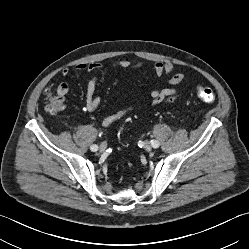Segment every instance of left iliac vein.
Instances as JSON below:
<instances>
[{"label": "left iliac vein", "instance_id": "1", "mask_svg": "<svg viewBox=\"0 0 249 249\" xmlns=\"http://www.w3.org/2000/svg\"><path fill=\"white\" fill-rule=\"evenodd\" d=\"M143 148L147 151L150 152L152 150V145L149 141H146L143 145Z\"/></svg>", "mask_w": 249, "mask_h": 249}]
</instances>
